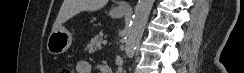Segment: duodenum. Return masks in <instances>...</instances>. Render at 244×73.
Listing matches in <instances>:
<instances>
[{"label": "duodenum", "instance_id": "1", "mask_svg": "<svg viewBox=\"0 0 244 73\" xmlns=\"http://www.w3.org/2000/svg\"><path fill=\"white\" fill-rule=\"evenodd\" d=\"M103 72L104 73H111V71L108 68H106V67L103 69Z\"/></svg>", "mask_w": 244, "mask_h": 73}]
</instances>
